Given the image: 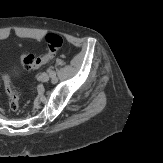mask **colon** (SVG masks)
Returning <instances> with one entry per match:
<instances>
[{
  "instance_id": "1",
  "label": "colon",
  "mask_w": 163,
  "mask_h": 163,
  "mask_svg": "<svg viewBox=\"0 0 163 163\" xmlns=\"http://www.w3.org/2000/svg\"><path fill=\"white\" fill-rule=\"evenodd\" d=\"M45 43L47 48L45 54L41 56L24 54L21 56V63L25 69H34L50 60L62 47L63 38L59 34L50 33L46 36ZM5 88L10 110L17 111L19 108V93L12 80L8 76H5Z\"/></svg>"
}]
</instances>
